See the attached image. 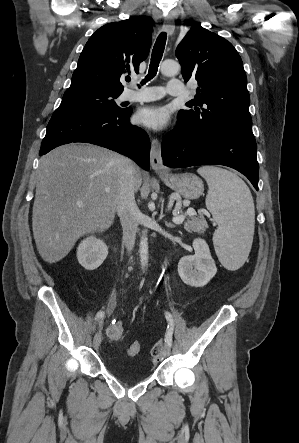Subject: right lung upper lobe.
<instances>
[{
	"label": "right lung upper lobe",
	"mask_w": 299,
	"mask_h": 443,
	"mask_svg": "<svg viewBox=\"0 0 299 443\" xmlns=\"http://www.w3.org/2000/svg\"><path fill=\"white\" fill-rule=\"evenodd\" d=\"M151 23L133 17L108 23L88 40L72 75L70 87H91L122 93L123 73L139 72L151 47Z\"/></svg>",
	"instance_id": "cb5924a9"
}]
</instances>
